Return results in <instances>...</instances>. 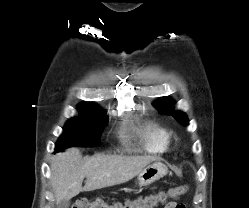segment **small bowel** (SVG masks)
Here are the masks:
<instances>
[{
  "label": "small bowel",
  "mask_w": 249,
  "mask_h": 208,
  "mask_svg": "<svg viewBox=\"0 0 249 208\" xmlns=\"http://www.w3.org/2000/svg\"><path fill=\"white\" fill-rule=\"evenodd\" d=\"M179 205L177 202L175 201H171V202H168L164 208H179Z\"/></svg>",
  "instance_id": "c3829d8e"
}]
</instances>
